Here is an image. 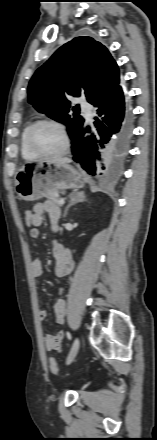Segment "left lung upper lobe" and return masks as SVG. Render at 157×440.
<instances>
[{"instance_id": "left-lung-upper-lobe-1", "label": "left lung upper lobe", "mask_w": 157, "mask_h": 440, "mask_svg": "<svg viewBox=\"0 0 157 440\" xmlns=\"http://www.w3.org/2000/svg\"><path fill=\"white\" fill-rule=\"evenodd\" d=\"M120 73L117 63L100 42L91 37H76L60 47L31 78L28 85L29 103L37 111L65 123L69 137L81 126L79 105L73 107L68 96L85 95L94 104L118 87Z\"/></svg>"}]
</instances>
